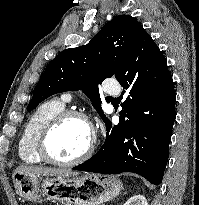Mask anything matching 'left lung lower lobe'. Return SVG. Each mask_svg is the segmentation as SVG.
<instances>
[{"instance_id": "left-lung-lower-lobe-1", "label": "left lung lower lobe", "mask_w": 199, "mask_h": 205, "mask_svg": "<svg viewBox=\"0 0 199 205\" xmlns=\"http://www.w3.org/2000/svg\"><path fill=\"white\" fill-rule=\"evenodd\" d=\"M127 93L120 122L106 123L101 149L74 170L119 174L133 172L158 185L168 161L176 118V95L167 60L145 30L124 61L117 78ZM146 137V138H145Z\"/></svg>"}]
</instances>
